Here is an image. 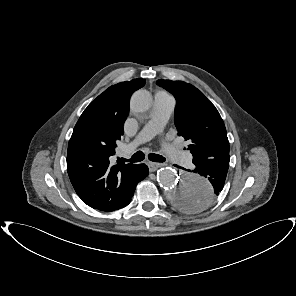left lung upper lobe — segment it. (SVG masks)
Here are the masks:
<instances>
[{
    "mask_svg": "<svg viewBox=\"0 0 296 296\" xmlns=\"http://www.w3.org/2000/svg\"><path fill=\"white\" fill-rule=\"evenodd\" d=\"M157 84L176 99L175 125L178 135L190 142L188 149L193 160L229 157V142L224 122L215 106L191 84L181 81L157 80ZM178 201L186 210L188 203Z\"/></svg>",
    "mask_w": 296,
    "mask_h": 296,
    "instance_id": "5c2ea615",
    "label": "left lung upper lobe"
}]
</instances>
